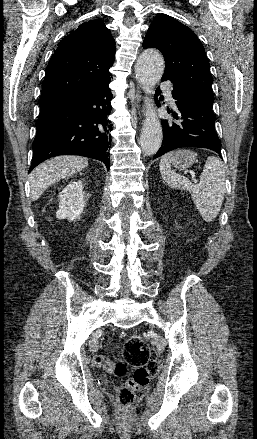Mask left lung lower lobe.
Here are the masks:
<instances>
[{"instance_id":"left-lung-lower-lobe-1","label":"left lung lower lobe","mask_w":257,"mask_h":439,"mask_svg":"<svg viewBox=\"0 0 257 439\" xmlns=\"http://www.w3.org/2000/svg\"><path fill=\"white\" fill-rule=\"evenodd\" d=\"M168 80L162 77L161 81ZM172 97L176 100L177 111L173 117L177 122L162 120L163 141L156 159L163 154L182 147L207 148L221 153V142L215 132V115L212 106L195 97L189 90L172 83ZM160 89L156 90L158 94ZM158 106L160 103L156 101ZM170 113V110H168ZM221 158L222 156L219 155Z\"/></svg>"}]
</instances>
